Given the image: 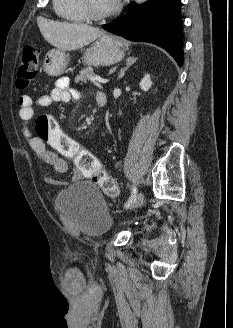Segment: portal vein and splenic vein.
<instances>
[{
	"label": "portal vein and splenic vein",
	"mask_w": 233,
	"mask_h": 328,
	"mask_svg": "<svg viewBox=\"0 0 233 328\" xmlns=\"http://www.w3.org/2000/svg\"><path fill=\"white\" fill-rule=\"evenodd\" d=\"M91 81H93L94 83L98 82V83H107L109 81V79H104V78H101V77H93L91 78Z\"/></svg>",
	"instance_id": "1"
}]
</instances>
